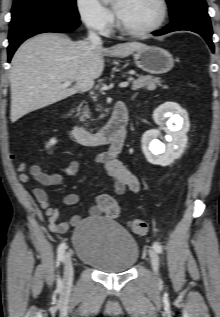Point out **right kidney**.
Instances as JSON below:
<instances>
[{
    "instance_id": "obj_1",
    "label": "right kidney",
    "mask_w": 220,
    "mask_h": 317,
    "mask_svg": "<svg viewBox=\"0 0 220 317\" xmlns=\"http://www.w3.org/2000/svg\"><path fill=\"white\" fill-rule=\"evenodd\" d=\"M56 143L55 139H51L50 142L48 143V146H52Z\"/></svg>"
}]
</instances>
